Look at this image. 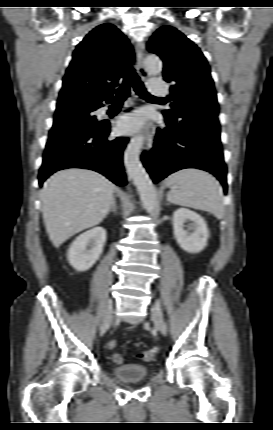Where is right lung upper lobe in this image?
<instances>
[{
    "label": "right lung upper lobe",
    "instance_id": "cb5924a9",
    "mask_svg": "<svg viewBox=\"0 0 273 430\" xmlns=\"http://www.w3.org/2000/svg\"><path fill=\"white\" fill-rule=\"evenodd\" d=\"M128 39L112 24L94 28L77 45L63 78L57 107L70 100L103 106L113 100V88L123 76L124 65L133 62Z\"/></svg>",
    "mask_w": 273,
    "mask_h": 430
}]
</instances>
